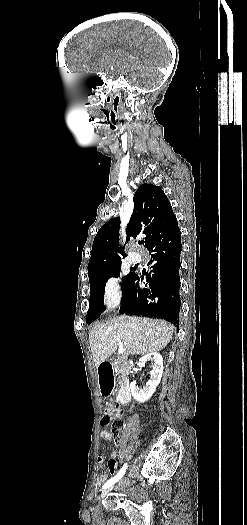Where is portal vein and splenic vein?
I'll list each match as a JSON object with an SVG mask.
<instances>
[{"label":"portal vein and splenic vein","instance_id":"obj_1","mask_svg":"<svg viewBox=\"0 0 247 525\" xmlns=\"http://www.w3.org/2000/svg\"><path fill=\"white\" fill-rule=\"evenodd\" d=\"M125 349L123 347H119L118 355H122L124 353Z\"/></svg>","mask_w":247,"mask_h":525}]
</instances>
